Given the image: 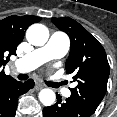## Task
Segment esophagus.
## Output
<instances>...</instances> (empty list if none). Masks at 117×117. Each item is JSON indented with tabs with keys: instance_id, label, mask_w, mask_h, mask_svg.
Wrapping results in <instances>:
<instances>
[{
	"instance_id": "34e87169",
	"label": "esophagus",
	"mask_w": 117,
	"mask_h": 117,
	"mask_svg": "<svg viewBox=\"0 0 117 117\" xmlns=\"http://www.w3.org/2000/svg\"><path fill=\"white\" fill-rule=\"evenodd\" d=\"M43 87H44V85L41 84V83H36V85H35V89H36V90H40V89H42Z\"/></svg>"
}]
</instances>
